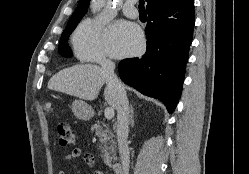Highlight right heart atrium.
Returning <instances> with one entry per match:
<instances>
[{
    "instance_id": "1",
    "label": "right heart atrium",
    "mask_w": 249,
    "mask_h": 174,
    "mask_svg": "<svg viewBox=\"0 0 249 174\" xmlns=\"http://www.w3.org/2000/svg\"><path fill=\"white\" fill-rule=\"evenodd\" d=\"M106 23L98 18H86L76 28L72 42L76 57L84 62L109 61L104 44Z\"/></svg>"
}]
</instances>
